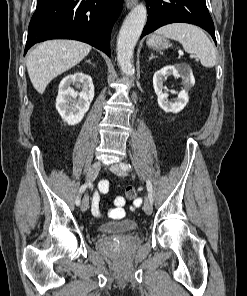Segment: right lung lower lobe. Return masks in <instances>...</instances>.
Returning <instances> with one entry per match:
<instances>
[{"label":"right lung lower lobe","mask_w":247,"mask_h":296,"mask_svg":"<svg viewBox=\"0 0 247 296\" xmlns=\"http://www.w3.org/2000/svg\"><path fill=\"white\" fill-rule=\"evenodd\" d=\"M122 5L123 0H37L24 55L38 42L74 39L110 56V35Z\"/></svg>","instance_id":"obj_1"}]
</instances>
